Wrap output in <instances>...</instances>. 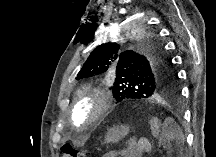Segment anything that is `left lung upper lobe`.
I'll use <instances>...</instances> for the list:
<instances>
[{"mask_svg":"<svg viewBox=\"0 0 216 157\" xmlns=\"http://www.w3.org/2000/svg\"><path fill=\"white\" fill-rule=\"evenodd\" d=\"M153 27H122V35H111L97 46L76 79L105 72L115 74L112 93L119 102L175 97L178 76Z\"/></svg>","mask_w":216,"mask_h":157,"instance_id":"left-lung-upper-lobe-1","label":"left lung upper lobe"}]
</instances>
